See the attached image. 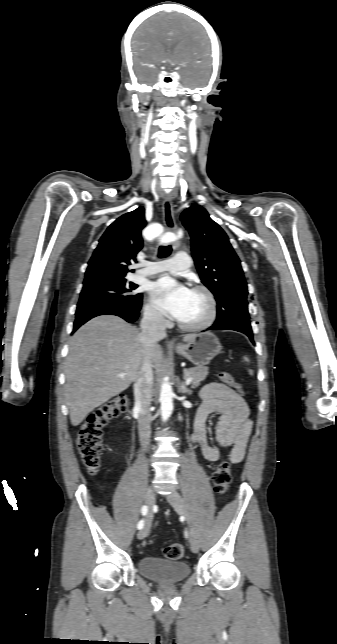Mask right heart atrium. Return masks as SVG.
Returning a JSON list of instances; mask_svg holds the SVG:
<instances>
[{
    "label": "right heart atrium",
    "instance_id": "1",
    "mask_svg": "<svg viewBox=\"0 0 337 644\" xmlns=\"http://www.w3.org/2000/svg\"><path fill=\"white\" fill-rule=\"evenodd\" d=\"M144 314L146 320L152 324L161 325L165 322V318L162 313L151 302L146 304Z\"/></svg>",
    "mask_w": 337,
    "mask_h": 644
}]
</instances>
